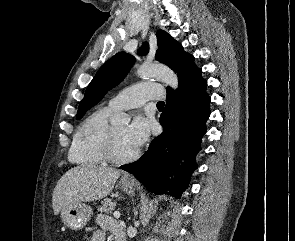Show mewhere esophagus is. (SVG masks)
<instances>
[{
  "mask_svg": "<svg viewBox=\"0 0 295 241\" xmlns=\"http://www.w3.org/2000/svg\"><path fill=\"white\" fill-rule=\"evenodd\" d=\"M132 177H130L129 175H125L124 179H131Z\"/></svg>",
  "mask_w": 295,
  "mask_h": 241,
  "instance_id": "1",
  "label": "esophagus"
}]
</instances>
